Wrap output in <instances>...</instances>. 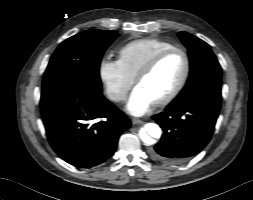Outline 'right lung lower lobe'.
<instances>
[{"label": "right lung lower lobe", "mask_w": 253, "mask_h": 200, "mask_svg": "<svg viewBox=\"0 0 253 200\" xmlns=\"http://www.w3.org/2000/svg\"><path fill=\"white\" fill-rule=\"evenodd\" d=\"M41 113L50 145L81 168L110 158L130 120L103 95L76 86L42 89Z\"/></svg>", "instance_id": "right-lung-lower-lobe-1"}]
</instances>
